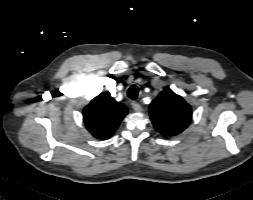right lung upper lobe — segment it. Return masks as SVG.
<instances>
[{
	"label": "right lung upper lobe",
	"instance_id": "obj_1",
	"mask_svg": "<svg viewBox=\"0 0 253 200\" xmlns=\"http://www.w3.org/2000/svg\"><path fill=\"white\" fill-rule=\"evenodd\" d=\"M127 113L123 104L116 102L110 93L103 92L84 108L83 117L88 131L104 140L113 135Z\"/></svg>",
	"mask_w": 253,
	"mask_h": 200
}]
</instances>
